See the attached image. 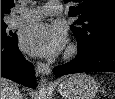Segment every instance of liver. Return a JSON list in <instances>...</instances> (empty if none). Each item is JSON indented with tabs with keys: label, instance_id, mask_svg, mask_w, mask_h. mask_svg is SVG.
I'll list each match as a JSON object with an SVG mask.
<instances>
[{
	"label": "liver",
	"instance_id": "6515ba94",
	"mask_svg": "<svg viewBox=\"0 0 115 99\" xmlns=\"http://www.w3.org/2000/svg\"><path fill=\"white\" fill-rule=\"evenodd\" d=\"M17 85L5 78H1V99H21Z\"/></svg>",
	"mask_w": 115,
	"mask_h": 99
}]
</instances>
